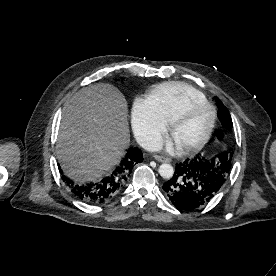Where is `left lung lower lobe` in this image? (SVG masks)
I'll return each mask as SVG.
<instances>
[{
    "label": "left lung lower lobe",
    "mask_w": 276,
    "mask_h": 276,
    "mask_svg": "<svg viewBox=\"0 0 276 276\" xmlns=\"http://www.w3.org/2000/svg\"><path fill=\"white\" fill-rule=\"evenodd\" d=\"M225 181L222 170L202 156L176 165L173 178L163 185L169 200L178 208L191 210L207 204Z\"/></svg>",
    "instance_id": "left-lung-lower-lobe-1"
}]
</instances>
